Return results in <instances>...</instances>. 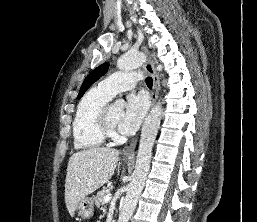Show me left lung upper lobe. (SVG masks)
Segmentation results:
<instances>
[{"mask_svg":"<svg viewBox=\"0 0 257 222\" xmlns=\"http://www.w3.org/2000/svg\"><path fill=\"white\" fill-rule=\"evenodd\" d=\"M109 68V63H104L97 68H95L90 74L85 78L81 89L79 91L78 97L81 98L85 91L95 82L97 81L101 76H103Z\"/></svg>","mask_w":257,"mask_h":222,"instance_id":"left-lung-upper-lobe-1","label":"left lung upper lobe"}]
</instances>
